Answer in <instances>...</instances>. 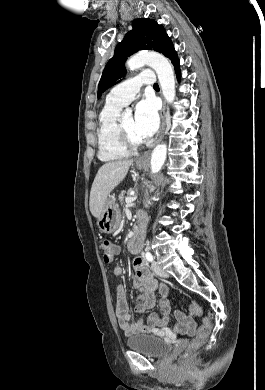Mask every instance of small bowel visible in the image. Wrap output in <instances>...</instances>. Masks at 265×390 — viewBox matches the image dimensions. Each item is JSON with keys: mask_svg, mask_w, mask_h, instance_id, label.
I'll use <instances>...</instances> for the list:
<instances>
[{"mask_svg": "<svg viewBox=\"0 0 265 390\" xmlns=\"http://www.w3.org/2000/svg\"><path fill=\"white\" fill-rule=\"evenodd\" d=\"M114 251L115 255H117L120 252V248L115 246ZM133 266L135 271L133 286L137 290V304L134 309L135 313L143 314L155 306V293L157 290L161 295V299L159 301L161 313H151L147 323L141 319L133 320L129 314L124 284L119 282L116 286L115 314L120 329L126 335L139 333L163 335L171 330L177 334L193 335L196 329V322L194 318L186 315L180 310L172 311L171 303L167 298L169 294L167 285L158 283L151 272L147 269L141 256L135 257ZM111 273L115 276H121L123 269L120 265L116 264L112 266ZM171 316L176 319L177 323L170 330L168 328V324Z\"/></svg>", "mask_w": 265, "mask_h": 390, "instance_id": "obj_1", "label": "small bowel"}]
</instances>
